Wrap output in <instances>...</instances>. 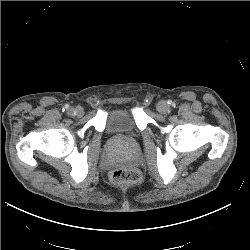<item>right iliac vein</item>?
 <instances>
[{"label":"right iliac vein","mask_w":250,"mask_h":250,"mask_svg":"<svg viewBox=\"0 0 250 250\" xmlns=\"http://www.w3.org/2000/svg\"><path fill=\"white\" fill-rule=\"evenodd\" d=\"M68 114L71 115V116L76 115L78 117H81L84 114V110H83L82 107H77V108H72L71 107V108L68 109Z\"/></svg>","instance_id":"1"}]
</instances>
